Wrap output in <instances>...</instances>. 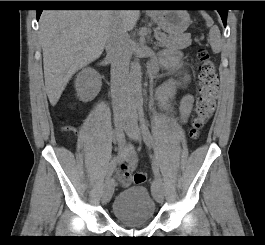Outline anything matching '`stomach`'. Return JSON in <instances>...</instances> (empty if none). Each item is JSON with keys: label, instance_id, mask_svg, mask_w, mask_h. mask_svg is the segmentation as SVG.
<instances>
[{"label": "stomach", "instance_id": "1", "mask_svg": "<svg viewBox=\"0 0 265 245\" xmlns=\"http://www.w3.org/2000/svg\"><path fill=\"white\" fill-rule=\"evenodd\" d=\"M150 16L162 30L171 36L182 35L191 23L190 16L185 10H157Z\"/></svg>", "mask_w": 265, "mask_h": 245}]
</instances>
